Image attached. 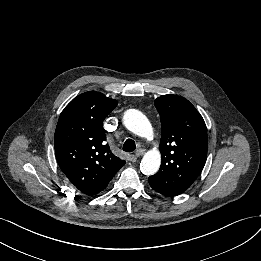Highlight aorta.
Listing matches in <instances>:
<instances>
[{
    "label": "aorta",
    "mask_w": 261,
    "mask_h": 261,
    "mask_svg": "<svg viewBox=\"0 0 261 261\" xmlns=\"http://www.w3.org/2000/svg\"><path fill=\"white\" fill-rule=\"evenodd\" d=\"M123 122L125 127L134 134L150 138L153 129L148 118L136 109H129L124 113ZM161 154L157 150L148 151L141 163L140 170L145 175H154L160 168Z\"/></svg>",
    "instance_id": "obj_1"
}]
</instances>
